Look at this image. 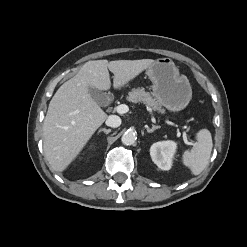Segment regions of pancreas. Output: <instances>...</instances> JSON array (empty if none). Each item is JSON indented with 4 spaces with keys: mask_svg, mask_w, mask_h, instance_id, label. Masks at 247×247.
Segmentation results:
<instances>
[{
    "mask_svg": "<svg viewBox=\"0 0 247 247\" xmlns=\"http://www.w3.org/2000/svg\"><path fill=\"white\" fill-rule=\"evenodd\" d=\"M128 101L132 103H143L152 107L155 111L164 113L161 104L149 92H146L144 88L133 89L129 92Z\"/></svg>",
    "mask_w": 247,
    "mask_h": 247,
    "instance_id": "pancreas-1",
    "label": "pancreas"
}]
</instances>
